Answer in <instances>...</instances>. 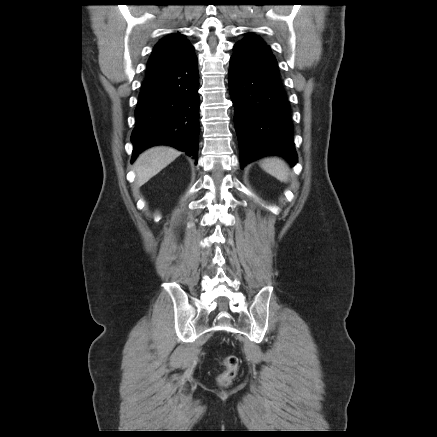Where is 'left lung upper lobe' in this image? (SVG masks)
Returning a JSON list of instances; mask_svg holds the SVG:
<instances>
[{
    "label": "left lung upper lobe",
    "mask_w": 437,
    "mask_h": 437,
    "mask_svg": "<svg viewBox=\"0 0 437 437\" xmlns=\"http://www.w3.org/2000/svg\"><path fill=\"white\" fill-rule=\"evenodd\" d=\"M248 48L252 49L259 55H261L266 61H268L272 66L278 69V63L270 51V47L259 37L251 33H247V36L240 42Z\"/></svg>",
    "instance_id": "1"
}]
</instances>
